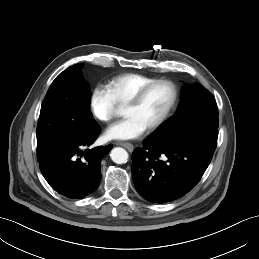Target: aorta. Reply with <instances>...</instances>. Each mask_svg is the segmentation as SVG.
<instances>
[{
  "label": "aorta",
  "mask_w": 259,
  "mask_h": 259,
  "mask_svg": "<svg viewBox=\"0 0 259 259\" xmlns=\"http://www.w3.org/2000/svg\"><path fill=\"white\" fill-rule=\"evenodd\" d=\"M110 157L112 161L115 162L116 164H124L128 161L129 155L125 149L121 147H116L112 149L110 153Z\"/></svg>",
  "instance_id": "obj_1"
}]
</instances>
